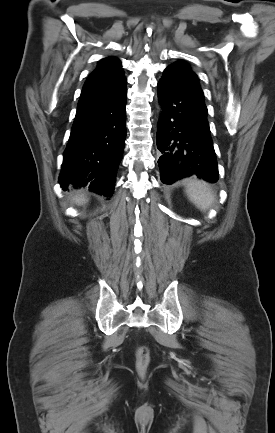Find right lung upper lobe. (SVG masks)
Masks as SVG:
<instances>
[{"mask_svg": "<svg viewBox=\"0 0 275 433\" xmlns=\"http://www.w3.org/2000/svg\"><path fill=\"white\" fill-rule=\"evenodd\" d=\"M126 84L121 62L115 57H107L99 61L98 67L89 75L82 89L81 96L118 88Z\"/></svg>", "mask_w": 275, "mask_h": 433, "instance_id": "1", "label": "right lung upper lobe"}]
</instances>
